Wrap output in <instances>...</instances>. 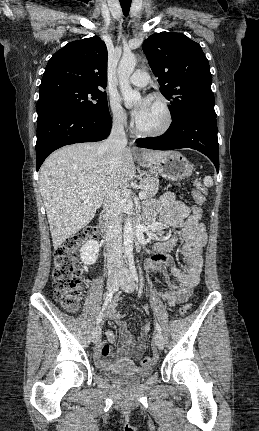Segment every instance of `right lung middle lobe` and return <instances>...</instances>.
I'll list each match as a JSON object with an SVG mask.
<instances>
[{"label": "right lung middle lobe", "mask_w": 259, "mask_h": 431, "mask_svg": "<svg viewBox=\"0 0 259 431\" xmlns=\"http://www.w3.org/2000/svg\"><path fill=\"white\" fill-rule=\"evenodd\" d=\"M39 93L38 116L59 108H70L94 115L109 113L106 93L99 88L52 82L40 89Z\"/></svg>", "instance_id": "obj_1"}]
</instances>
